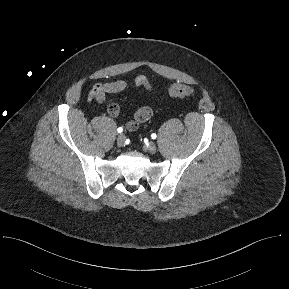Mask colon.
I'll list each match as a JSON object with an SVG mask.
<instances>
[{
  "label": "colon",
  "mask_w": 289,
  "mask_h": 289,
  "mask_svg": "<svg viewBox=\"0 0 289 289\" xmlns=\"http://www.w3.org/2000/svg\"><path fill=\"white\" fill-rule=\"evenodd\" d=\"M100 87H96L93 91V95L96 96L98 93ZM194 92V89L185 84H175L169 89V95L173 98H184L192 95Z\"/></svg>",
  "instance_id": "1"
}]
</instances>
